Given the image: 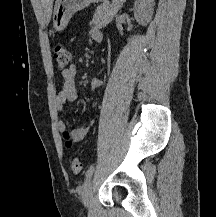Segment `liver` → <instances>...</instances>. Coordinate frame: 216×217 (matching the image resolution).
I'll return each instance as SVG.
<instances>
[{"mask_svg": "<svg viewBox=\"0 0 216 217\" xmlns=\"http://www.w3.org/2000/svg\"><path fill=\"white\" fill-rule=\"evenodd\" d=\"M53 1L54 0H41L42 5L44 6L45 11L47 13V22H49V20L51 18Z\"/></svg>", "mask_w": 216, "mask_h": 217, "instance_id": "1", "label": "liver"}]
</instances>
